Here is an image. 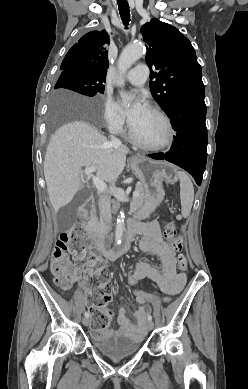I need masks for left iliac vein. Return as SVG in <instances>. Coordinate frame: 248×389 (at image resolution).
<instances>
[{
	"label": "left iliac vein",
	"instance_id": "left-iliac-vein-1",
	"mask_svg": "<svg viewBox=\"0 0 248 389\" xmlns=\"http://www.w3.org/2000/svg\"><path fill=\"white\" fill-rule=\"evenodd\" d=\"M147 328H148V330H152L154 328V324L152 321H148Z\"/></svg>",
	"mask_w": 248,
	"mask_h": 389
}]
</instances>
